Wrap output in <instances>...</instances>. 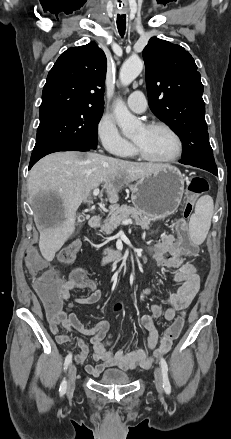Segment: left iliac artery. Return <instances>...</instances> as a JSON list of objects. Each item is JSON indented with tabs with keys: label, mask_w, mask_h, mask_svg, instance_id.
<instances>
[{
	"label": "left iliac artery",
	"mask_w": 231,
	"mask_h": 439,
	"mask_svg": "<svg viewBox=\"0 0 231 439\" xmlns=\"http://www.w3.org/2000/svg\"><path fill=\"white\" fill-rule=\"evenodd\" d=\"M160 366H161V372H162V378H163V388L166 392V394H170L171 392V385L168 378V365L164 358L160 359Z\"/></svg>",
	"instance_id": "obj_1"
}]
</instances>
